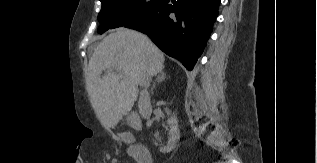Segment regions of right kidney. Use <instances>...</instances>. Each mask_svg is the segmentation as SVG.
Segmentation results:
<instances>
[{
	"label": "right kidney",
	"mask_w": 317,
	"mask_h": 163,
	"mask_svg": "<svg viewBox=\"0 0 317 163\" xmlns=\"http://www.w3.org/2000/svg\"><path fill=\"white\" fill-rule=\"evenodd\" d=\"M168 125L170 126V138L166 147H161L160 152L168 153L175 149L178 140L180 139V131L178 128L177 115L173 114L168 120Z\"/></svg>",
	"instance_id": "1"
}]
</instances>
